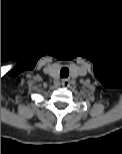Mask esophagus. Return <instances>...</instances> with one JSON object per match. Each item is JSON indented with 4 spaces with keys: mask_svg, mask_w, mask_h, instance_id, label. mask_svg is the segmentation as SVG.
<instances>
[{
    "mask_svg": "<svg viewBox=\"0 0 122 154\" xmlns=\"http://www.w3.org/2000/svg\"><path fill=\"white\" fill-rule=\"evenodd\" d=\"M61 84L64 87H68L70 85V81H69V79L65 78V79H62Z\"/></svg>",
    "mask_w": 122,
    "mask_h": 154,
    "instance_id": "esophagus-1",
    "label": "esophagus"
}]
</instances>
